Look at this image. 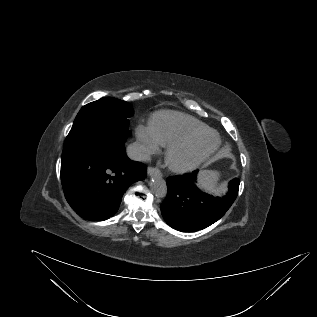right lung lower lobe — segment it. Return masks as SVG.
Wrapping results in <instances>:
<instances>
[{"mask_svg":"<svg viewBox=\"0 0 317 317\" xmlns=\"http://www.w3.org/2000/svg\"><path fill=\"white\" fill-rule=\"evenodd\" d=\"M124 142L122 138L104 137L61 160L66 200L81 217L93 221L112 217L126 189L146 177V165L127 157Z\"/></svg>","mask_w":317,"mask_h":317,"instance_id":"1","label":"right lung lower lobe"}]
</instances>
